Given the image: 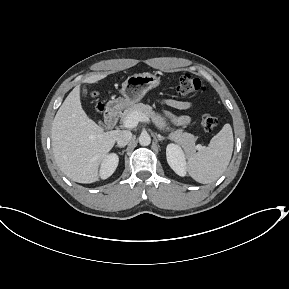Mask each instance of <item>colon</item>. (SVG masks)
<instances>
[{
	"mask_svg": "<svg viewBox=\"0 0 289 289\" xmlns=\"http://www.w3.org/2000/svg\"><path fill=\"white\" fill-rule=\"evenodd\" d=\"M175 90L180 95H188L191 93L204 92L206 86L198 78L193 77L189 73L182 74L176 84ZM97 110H103V104L97 103ZM218 124L216 117L205 114L201 119V126L206 132L212 131Z\"/></svg>",
	"mask_w": 289,
	"mask_h": 289,
	"instance_id": "colon-1",
	"label": "colon"
}]
</instances>
